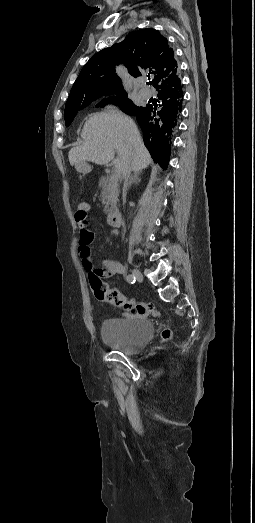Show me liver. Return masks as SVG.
Here are the masks:
<instances>
[{
	"label": "liver",
	"mask_w": 255,
	"mask_h": 523,
	"mask_svg": "<svg viewBox=\"0 0 255 523\" xmlns=\"http://www.w3.org/2000/svg\"><path fill=\"white\" fill-rule=\"evenodd\" d=\"M81 138V146L71 148L68 154L71 166L81 174L90 172L86 162L99 166L113 162L119 174H123L128 166L132 172H141L152 162L137 126L129 116L105 112L92 114L83 126ZM114 152L118 154L117 160H114Z\"/></svg>",
	"instance_id": "1"
}]
</instances>
